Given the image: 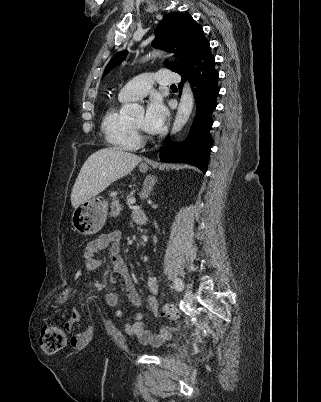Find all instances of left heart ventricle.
Listing matches in <instances>:
<instances>
[{
	"label": "left heart ventricle",
	"mask_w": 321,
	"mask_h": 402,
	"mask_svg": "<svg viewBox=\"0 0 321 402\" xmlns=\"http://www.w3.org/2000/svg\"><path fill=\"white\" fill-rule=\"evenodd\" d=\"M143 120H144V115H143V113H140L131 119V123H133L138 128L144 129L143 128Z\"/></svg>",
	"instance_id": "1"
}]
</instances>
